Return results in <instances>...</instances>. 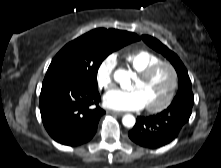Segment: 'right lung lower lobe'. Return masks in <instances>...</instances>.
<instances>
[{
	"mask_svg": "<svg viewBox=\"0 0 221 168\" xmlns=\"http://www.w3.org/2000/svg\"><path fill=\"white\" fill-rule=\"evenodd\" d=\"M98 87L64 77H45L40 94L42 122L58 143L76 146L89 141L105 114ZM96 105V107H94Z\"/></svg>",
	"mask_w": 221,
	"mask_h": 168,
	"instance_id": "obj_1",
	"label": "right lung lower lobe"
}]
</instances>
